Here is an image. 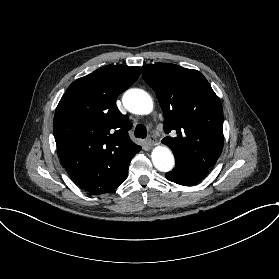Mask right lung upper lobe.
I'll list each match as a JSON object with an SVG mask.
<instances>
[{
	"label": "right lung upper lobe",
	"instance_id": "right-lung-upper-lobe-1",
	"mask_svg": "<svg viewBox=\"0 0 279 279\" xmlns=\"http://www.w3.org/2000/svg\"><path fill=\"white\" fill-rule=\"evenodd\" d=\"M139 67L108 65L75 80L62 96L53 131L60 160L90 194L116 189L141 147L127 133L128 117L116 106L119 94L140 75Z\"/></svg>",
	"mask_w": 279,
	"mask_h": 279
}]
</instances>
